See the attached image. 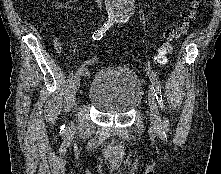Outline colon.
I'll return each instance as SVG.
<instances>
[{"instance_id": "1", "label": "colon", "mask_w": 221, "mask_h": 174, "mask_svg": "<svg viewBox=\"0 0 221 174\" xmlns=\"http://www.w3.org/2000/svg\"><path fill=\"white\" fill-rule=\"evenodd\" d=\"M200 6V0H192L188 11L183 15V17L165 30L164 35L167 41L160 47L158 54L154 57V65L156 67H162L167 63L168 57L175 49V42L194 23L197 11ZM84 63L87 66H93L97 63V59L95 57H89L84 61Z\"/></svg>"}]
</instances>
